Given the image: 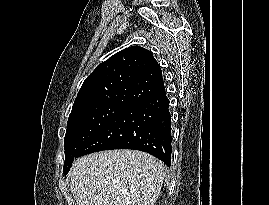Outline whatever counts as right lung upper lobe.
<instances>
[{"label": "right lung upper lobe", "mask_w": 269, "mask_h": 205, "mask_svg": "<svg viewBox=\"0 0 269 205\" xmlns=\"http://www.w3.org/2000/svg\"><path fill=\"white\" fill-rule=\"evenodd\" d=\"M164 90L162 71L152 53L131 46L96 67L84 81L72 111L95 104L130 106Z\"/></svg>", "instance_id": "right-lung-upper-lobe-1"}]
</instances>
